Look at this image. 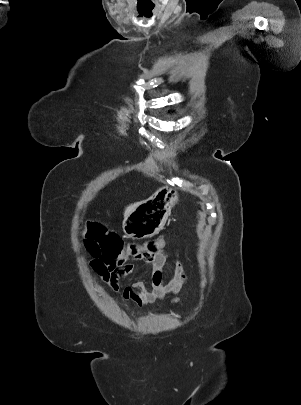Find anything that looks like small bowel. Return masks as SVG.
Wrapping results in <instances>:
<instances>
[{"instance_id":"small-bowel-1","label":"small bowel","mask_w":301,"mask_h":405,"mask_svg":"<svg viewBox=\"0 0 301 405\" xmlns=\"http://www.w3.org/2000/svg\"><path fill=\"white\" fill-rule=\"evenodd\" d=\"M160 249L156 253L141 252L137 255H132L129 250L123 252L120 258L113 266H105L100 259L93 257L90 261L91 266L100 275L102 281L114 292L120 291V280L124 276L135 272V266L132 260L143 262L150 274L151 283L146 285L143 281H139L133 286L126 287L122 291V297L125 301H133L139 307H144L163 300L168 295L177 294L182 286L188 281V275L185 271L183 263L179 258L175 268L173 278L168 282L163 281V271L168 252L165 248L164 237L158 238ZM192 289L189 285L184 298L174 297L172 302L177 304L183 299H186L188 293Z\"/></svg>"}]
</instances>
